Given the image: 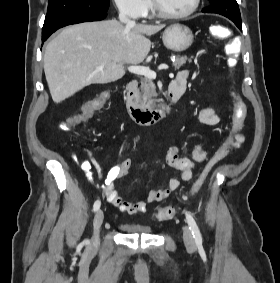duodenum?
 <instances>
[{"label": "duodenum", "mask_w": 280, "mask_h": 283, "mask_svg": "<svg viewBox=\"0 0 280 283\" xmlns=\"http://www.w3.org/2000/svg\"><path fill=\"white\" fill-rule=\"evenodd\" d=\"M182 92L180 85L176 81H173L168 87L165 103L156 109H148L143 107L139 102L137 80H131L126 87V105L128 113L132 119L140 125H153L168 116L172 106L181 97Z\"/></svg>", "instance_id": "duodenum-1"}]
</instances>
